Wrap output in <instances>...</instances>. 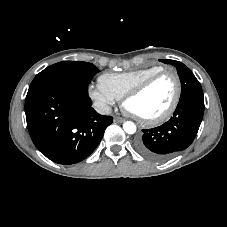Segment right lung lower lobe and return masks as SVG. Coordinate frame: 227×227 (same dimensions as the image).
Returning <instances> with one entry per match:
<instances>
[{
	"instance_id": "right-lung-lower-lobe-1",
	"label": "right lung lower lobe",
	"mask_w": 227,
	"mask_h": 227,
	"mask_svg": "<svg viewBox=\"0 0 227 227\" xmlns=\"http://www.w3.org/2000/svg\"><path fill=\"white\" fill-rule=\"evenodd\" d=\"M86 93L63 86L28 92L25 114L38 150L53 162L69 165L87 158L100 143L111 116L98 114Z\"/></svg>"
}]
</instances>
